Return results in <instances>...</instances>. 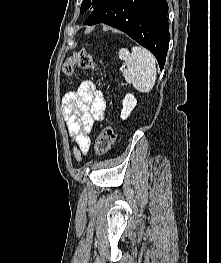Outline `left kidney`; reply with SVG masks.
Masks as SVG:
<instances>
[{
  "mask_svg": "<svg viewBox=\"0 0 221 263\" xmlns=\"http://www.w3.org/2000/svg\"><path fill=\"white\" fill-rule=\"evenodd\" d=\"M136 105H137V100L134 97V95L133 94H126V96L122 102L123 108L121 110V119L122 120L127 119Z\"/></svg>",
  "mask_w": 221,
  "mask_h": 263,
  "instance_id": "obj_1",
  "label": "left kidney"
}]
</instances>
